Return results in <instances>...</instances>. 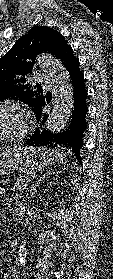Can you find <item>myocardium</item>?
<instances>
[{
  "label": "myocardium",
  "mask_w": 113,
  "mask_h": 279,
  "mask_svg": "<svg viewBox=\"0 0 113 279\" xmlns=\"http://www.w3.org/2000/svg\"><path fill=\"white\" fill-rule=\"evenodd\" d=\"M3 108H11L16 110L21 117L22 127L21 130L16 134L0 137V144L21 140L25 137L29 130V114L27 109L21 103L12 100L0 102V109Z\"/></svg>",
  "instance_id": "obj_1"
}]
</instances>
